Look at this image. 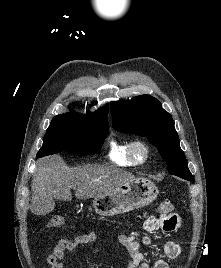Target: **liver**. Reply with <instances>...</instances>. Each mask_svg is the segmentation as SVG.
<instances>
[{"instance_id": "6515ba94", "label": "liver", "mask_w": 221, "mask_h": 268, "mask_svg": "<svg viewBox=\"0 0 221 268\" xmlns=\"http://www.w3.org/2000/svg\"><path fill=\"white\" fill-rule=\"evenodd\" d=\"M135 179L131 173L113 166L68 168L59 155L40 159L33 175L31 211L36 215L49 214L55 199L71 201V189L76 188L78 199L99 197Z\"/></svg>"}]
</instances>
